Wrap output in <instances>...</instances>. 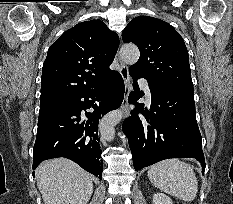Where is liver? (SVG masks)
Listing matches in <instances>:
<instances>
[{"mask_svg":"<svg viewBox=\"0 0 233 204\" xmlns=\"http://www.w3.org/2000/svg\"><path fill=\"white\" fill-rule=\"evenodd\" d=\"M36 177L44 204H87L93 193L89 174L65 158L42 162Z\"/></svg>","mask_w":233,"mask_h":204,"instance_id":"6515ba94","label":"liver"}]
</instances>
